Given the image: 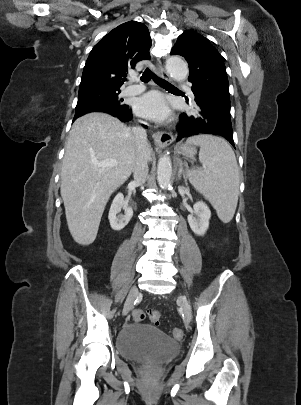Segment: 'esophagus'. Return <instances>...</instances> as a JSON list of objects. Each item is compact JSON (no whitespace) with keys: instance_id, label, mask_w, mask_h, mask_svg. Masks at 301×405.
<instances>
[{"instance_id":"1","label":"esophagus","mask_w":301,"mask_h":405,"mask_svg":"<svg viewBox=\"0 0 301 405\" xmlns=\"http://www.w3.org/2000/svg\"><path fill=\"white\" fill-rule=\"evenodd\" d=\"M158 73L163 79L170 81L168 74L165 72V70L161 66H158ZM153 139H154L155 144L160 147L167 146V145L171 144L174 140L173 135L171 133L163 132V131L156 132L153 135Z\"/></svg>"}]
</instances>
